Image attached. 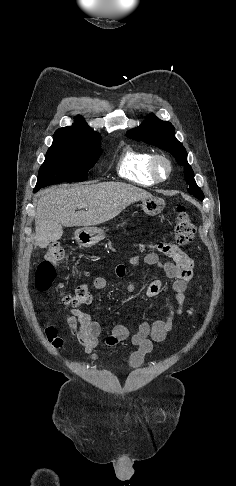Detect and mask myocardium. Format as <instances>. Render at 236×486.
Listing matches in <instances>:
<instances>
[{
  "mask_svg": "<svg viewBox=\"0 0 236 486\" xmlns=\"http://www.w3.org/2000/svg\"><path fill=\"white\" fill-rule=\"evenodd\" d=\"M160 163L165 164L167 169L166 174L164 176H161L158 170V166ZM148 170L151 177L156 182H164L170 178L173 168H172V163L167 156L163 154H154L152 155L149 161Z\"/></svg>",
  "mask_w": 236,
  "mask_h": 486,
  "instance_id": "myocardium-1",
  "label": "myocardium"
}]
</instances>
